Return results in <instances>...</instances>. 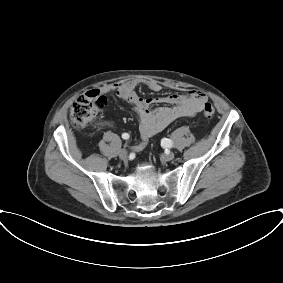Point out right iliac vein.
Segmentation results:
<instances>
[{"mask_svg":"<svg viewBox=\"0 0 283 283\" xmlns=\"http://www.w3.org/2000/svg\"><path fill=\"white\" fill-rule=\"evenodd\" d=\"M127 156H128V152H127V150H125V149H122V150H120L119 151V157L121 158V159H126L127 158Z\"/></svg>","mask_w":283,"mask_h":283,"instance_id":"obj_1","label":"right iliac vein"}]
</instances>
